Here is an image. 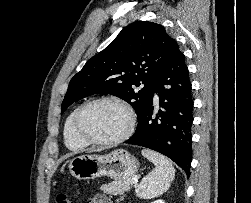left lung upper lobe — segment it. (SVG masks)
Returning <instances> with one entry per match:
<instances>
[{
	"instance_id": "5c2ea615",
	"label": "left lung upper lobe",
	"mask_w": 251,
	"mask_h": 203,
	"mask_svg": "<svg viewBox=\"0 0 251 203\" xmlns=\"http://www.w3.org/2000/svg\"><path fill=\"white\" fill-rule=\"evenodd\" d=\"M174 43L160 24L148 21L130 24L71 79L61 113L87 96L111 94L128 102L139 118ZM141 84L144 87L138 89Z\"/></svg>"
}]
</instances>
